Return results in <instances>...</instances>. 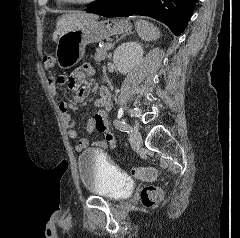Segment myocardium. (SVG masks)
<instances>
[{"mask_svg": "<svg viewBox=\"0 0 240 238\" xmlns=\"http://www.w3.org/2000/svg\"><path fill=\"white\" fill-rule=\"evenodd\" d=\"M58 1L69 3V4L86 5V4L95 3L98 0H58Z\"/></svg>", "mask_w": 240, "mask_h": 238, "instance_id": "f54148a6", "label": "myocardium"}]
</instances>
